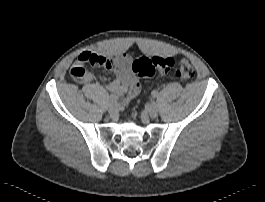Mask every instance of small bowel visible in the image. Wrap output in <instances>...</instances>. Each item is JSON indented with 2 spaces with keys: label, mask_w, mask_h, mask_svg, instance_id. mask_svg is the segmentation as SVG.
<instances>
[{
  "label": "small bowel",
  "mask_w": 265,
  "mask_h": 202,
  "mask_svg": "<svg viewBox=\"0 0 265 202\" xmlns=\"http://www.w3.org/2000/svg\"><path fill=\"white\" fill-rule=\"evenodd\" d=\"M83 65L104 67L113 71L116 79L109 83L106 88L114 96L121 97L124 104L128 103L140 93L141 86L138 79L131 72L132 60L127 54L105 55L93 51H84L78 56L76 61V66ZM83 80L93 82L95 75L86 72Z\"/></svg>",
  "instance_id": "1"
}]
</instances>
